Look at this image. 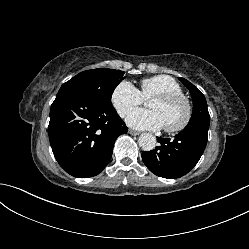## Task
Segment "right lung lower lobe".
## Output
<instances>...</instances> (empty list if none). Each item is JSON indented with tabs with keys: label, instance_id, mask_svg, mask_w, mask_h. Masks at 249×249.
Masks as SVG:
<instances>
[{
	"label": "right lung lower lobe",
	"instance_id": "right-lung-lower-lobe-1",
	"mask_svg": "<svg viewBox=\"0 0 249 249\" xmlns=\"http://www.w3.org/2000/svg\"><path fill=\"white\" fill-rule=\"evenodd\" d=\"M127 127L114 107L80 93L59 91L51 105L48 134L60 166L79 178L93 177L109 163L115 140Z\"/></svg>",
	"mask_w": 249,
	"mask_h": 249
}]
</instances>
